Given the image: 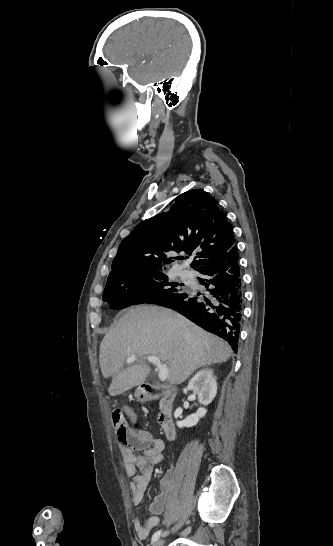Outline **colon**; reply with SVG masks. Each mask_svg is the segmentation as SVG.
Segmentation results:
<instances>
[{
  "mask_svg": "<svg viewBox=\"0 0 333 546\" xmlns=\"http://www.w3.org/2000/svg\"><path fill=\"white\" fill-rule=\"evenodd\" d=\"M112 424L118 441L124 446H130V432L132 428L128 425L121 410L117 409L112 412Z\"/></svg>",
  "mask_w": 333,
  "mask_h": 546,
  "instance_id": "obj_1",
  "label": "colon"
}]
</instances>
